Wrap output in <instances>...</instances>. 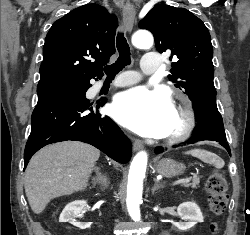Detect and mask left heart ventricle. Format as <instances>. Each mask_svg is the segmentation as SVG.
Listing matches in <instances>:
<instances>
[{"label": "left heart ventricle", "instance_id": "1", "mask_svg": "<svg viewBox=\"0 0 250 235\" xmlns=\"http://www.w3.org/2000/svg\"><path fill=\"white\" fill-rule=\"evenodd\" d=\"M181 117L179 116V114L174 111L173 114L171 115L170 121H169V127L167 132L165 133V136H170L172 134H174L176 131L179 130L180 126H181Z\"/></svg>", "mask_w": 250, "mask_h": 235}]
</instances>
